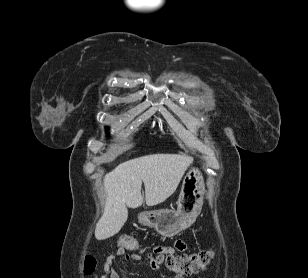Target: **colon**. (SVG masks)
Wrapping results in <instances>:
<instances>
[{
    "instance_id": "obj_1",
    "label": "colon",
    "mask_w": 308,
    "mask_h": 278,
    "mask_svg": "<svg viewBox=\"0 0 308 278\" xmlns=\"http://www.w3.org/2000/svg\"><path fill=\"white\" fill-rule=\"evenodd\" d=\"M118 244L125 250L139 251L140 245L138 241L131 235H122ZM213 257L211 251H199L183 254H165L157 255L156 262L163 263L167 268L180 275H191L197 273L209 264ZM97 260L94 256L88 254L84 259V272L88 275L94 273Z\"/></svg>"
}]
</instances>
